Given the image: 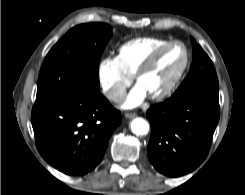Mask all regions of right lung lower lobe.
Wrapping results in <instances>:
<instances>
[{
  "mask_svg": "<svg viewBox=\"0 0 245 195\" xmlns=\"http://www.w3.org/2000/svg\"><path fill=\"white\" fill-rule=\"evenodd\" d=\"M120 112L99 92L35 103L32 126L42 157L59 171L80 176L102 160Z\"/></svg>",
  "mask_w": 245,
  "mask_h": 195,
  "instance_id": "98d812e1",
  "label": "right lung lower lobe"
}]
</instances>
